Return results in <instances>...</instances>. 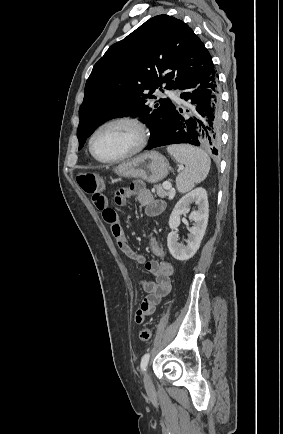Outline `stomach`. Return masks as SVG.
I'll use <instances>...</instances> for the list:
<instances>
[{
  "instance_id": "1",
  "label": "stomach",
  "mask_w": 283,
  "mask_h": 434,
  "mask_svg": "<svg viewBox=\"0 0 283 434\" xmlns=\"http://www.w3.org/2000/svg\"><path fill=\"white\" fill-rule=\"evenodd\" d=\"M114 172L125 178H140L149 183H157L169 173V163L156 151L146 152L118 165Z\"/></svg>"
}]
</instances>
